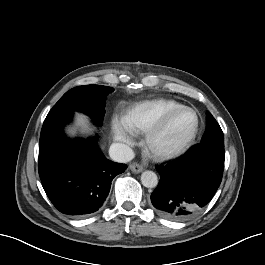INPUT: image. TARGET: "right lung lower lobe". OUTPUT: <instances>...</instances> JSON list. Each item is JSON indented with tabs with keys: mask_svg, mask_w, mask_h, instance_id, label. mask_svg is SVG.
<instances>
[{
	"mask_svg": "<svg viewBox=\"0 0 265 265\" xmlns=\"http://www.w3.org/2000/svg\"><path fill=\"white\" fill-rule=\"evenodd\" d=\"M73 112L48 114L41 130L39 175L53 205L62 213L83 217L97 211L113 178L127 168L108 160L92 138L69 139L63 132Z\"/></svg>",
	"mask_w": 265,
	"mask_h": 265,
	"instance_id": "obj_1",
	"label": "right lung lower lobe"
}]
</instances>
